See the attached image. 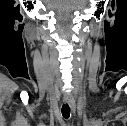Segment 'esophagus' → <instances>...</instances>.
Wrapping results in <instances>:
<instances>
[{"label":"esophagus","instance_id":"1","mask_svg":"<svg viewBox=\"0 0 127 126\" xmlns=\"http://www.w3.org/2000/svg\"><path fill=\"white\" fill-rule=\"evenodd\" d=\"M64 101L69 104L70 108L73 112H75L76 105L72 98H70L68 95H64Z\"/></svg>","mask_w":127,"mask_h":126}]
</instances>
